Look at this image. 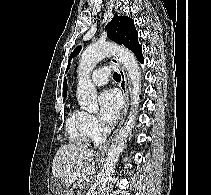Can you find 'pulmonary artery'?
<instances>
[{"label":"pulmonary artery","mask_w":211,"mask_h":195,"mask_svg":"<svg viewBox=\"0 0 211 195\" xmlns=\"http://www.w3.org/2000/svg\"><path fill=\"white\" fill-rule=\"evenodd\" d=\"M111 66H105L100 69H96L92 73V83L96 86H103L108 82Z\"/></svg>","instance_id":"obj_1"}]
</instances>
